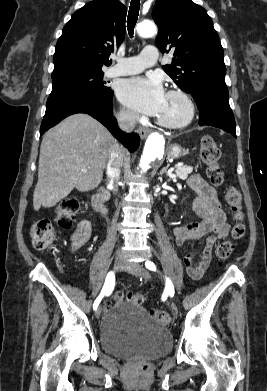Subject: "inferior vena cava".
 Segmentation results:
<instances>
[{"label": "inferior vena cava", "instance_id": "1", "mask_svg": "<svg viewBox=\"0 0 267 391\" xmlns=\"http://www.w3.org/2000/svg\"><path fill=\"white\" fill-rule=\"evenodd\" d=\"M139 118L138 114L132 111H125L118 115V124L121 130L130 132L134 129L135 123ZM123 163V153L118 144H115L107 162V176L109 182L114 185V191H117L118 181L120 178L121 167Z\"/></svg>", "mask_w": 267, "mask_h": 391}]
</instances>
